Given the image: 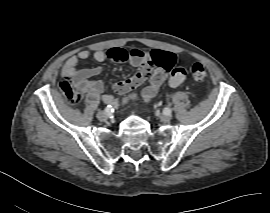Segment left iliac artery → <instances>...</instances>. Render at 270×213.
<instances>
[{"label": "left iliac artery", "mask_w": 270, "mask_h": 213, "mask_svg": "<svg viewBox=\"0 0 270 213\" xmlns=\"http://www.w3.org/2000/svg\"><path fill=\"white\" fill-rule=\"evenodd\" d=\"M172 113V110L170 108H165L164 109V114L170 115Z\"/></svg>", "instance_id": "obj_1"}]
</instances>
